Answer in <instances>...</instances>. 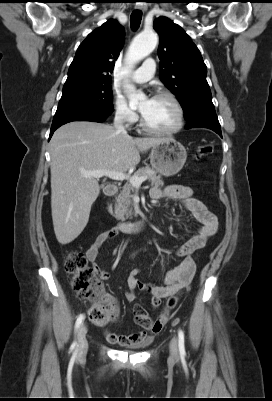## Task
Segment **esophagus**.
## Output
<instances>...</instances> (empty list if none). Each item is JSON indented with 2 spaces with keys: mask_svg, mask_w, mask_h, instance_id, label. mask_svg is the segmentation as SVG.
<instances>
[{
  "mask_svg": "<svg viewBox=\"0 0 272 401\" xmlns=\"http://www.w3.org/2000/svg\"><path fill=\"white\" fill-rule=\"evenodd\" d=\"M136 8L139 9V10H142V11L146 10V7L142 6V5H136Z\"/></svg>",
  "mask_w": 272,
  "mask_h": 401,
  "instance_id": "1",
  "label": "esophagus"
}]
</instances>
